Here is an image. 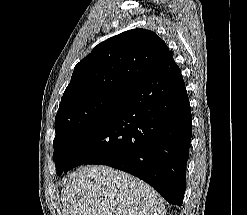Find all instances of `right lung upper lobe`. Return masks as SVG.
<instances>
[{
	"instance_id": "obj_1",
	"label": "right lung upper lobe",
	"mask_w": 247,
	"mask_h": 215,
	"mask_svg": "<svg viewBox=\"0 0 247 215\" xmlns=\"http://www.w3.org/2000/svg\"><path fill=\"white\" fill-rule=\"evenodd\" d=\"M172 56L154 32L133 29L98 44L74 68L64 95L88 89L133 91L149 80Z\"/></svg>"
}]
</instances>
